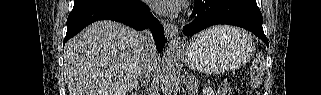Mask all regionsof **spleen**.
Returning <instances> with one entry per match:
<instances>
[{
	"mask_svg": "<svg viewBox=\"0 0 321 95\" xmlns=\"http://www.w3.org/2000/svg\"><path fill=\"white\" fill-rule=\"evenodd\" d=\"M235 28H230L227 26L213 27L207 31L208 34H225L234 31ZM265 72V59L262 52H259L256 55L255 60L252 64V76H251V85L253 88H259L263 82Z\"/></svg>",
	"mask_w": 321,
	"mask_h": 95,
	"instance_id": "3e777b00",
	"label": "spleen"
}]
</instances>
